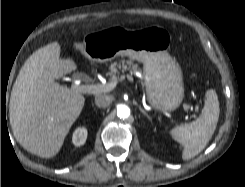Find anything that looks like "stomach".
<instances>
[{
  "label": "stomach",
  "instance_id": "obj_1",
  "mask_svg": "<svg viewBox=\"0 0 245 187\" xmlns=\"http://www.w3.org/2000/svg\"><path fill=\"white\" fill-rule=\"evenodd\" d=\"M169 33L160 27L129 30L111 27L87 34L78 48L93 62L127 56L144 65V83L149 103L158 110L173 111L184 97L182 72L168 54Z\"/></svg>",
  "mask_w": 245,
  "mask_h": 187
}]
</instances>
